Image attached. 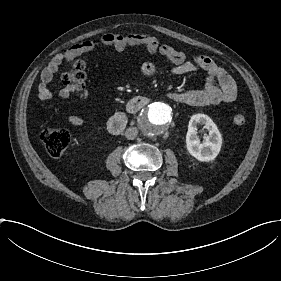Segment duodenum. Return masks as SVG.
<instances>
[{
	"instance_id": "1",
	"label": "duodenum",
	"mask_w": 281,
	"mask_h": 281,
	"mask_svg": "<svg viewBox=\"0 0 281 281\" xmlns=\"http://www.w3.org/2000/svg\"><path fill=\"white\" fill-rule=\"evenodd\" d=\"M149 103V99L145 96H136L128 101L125 111L116 112L108 121V130L112 134L121 133L128 122V114L139 112Z\"/></svg>"
}]
</instances>
